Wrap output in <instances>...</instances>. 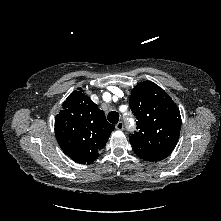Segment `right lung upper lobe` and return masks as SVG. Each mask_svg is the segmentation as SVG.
I'll return each mask as SVG.
<instances>
[{
  "instance_id": "1",
  "label": "right lung upper lobe",
  "mask_w": 221,
  "mask_h": 221,
  "mask_svg": "<svg viewBox=\"0 0 221 221\" xmlns=\"http://www.w3.org/2000/svg\"><path fill=\"white\" fill-rule=\"evenodd\" d=\"M55 118V135L63 152L80 164L94 162L115 126L81 88L64 101Z\"/></svg>"
}]
</instances>
